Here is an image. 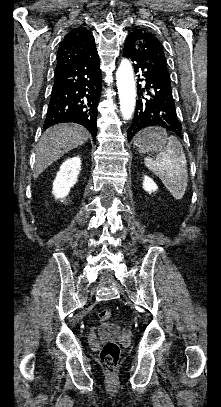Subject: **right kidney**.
<instances>
[{
	"mask_svg": "<svg viewBox=\"0 0 221 407\" xmlns=\"http://www.w3.org/2000/svg\"><path fill=\"white\" fill-rule=\"evenodd\" d=\"M81 169L79 156L65 160L53 182L52 193L56 199H64L77 181ZM63 201V200H62Z\"/></svg>",
	"mask_w": 221,
	"mask_h": 407,
	"instance_id": "1",
	"label": "right kidney"
}]
</instances>
